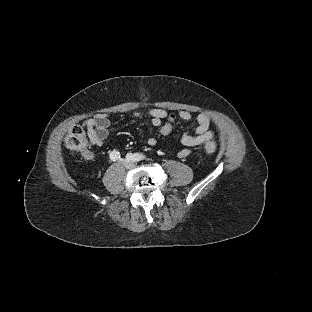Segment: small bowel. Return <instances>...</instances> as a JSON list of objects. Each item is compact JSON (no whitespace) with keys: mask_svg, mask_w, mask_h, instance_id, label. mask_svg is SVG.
I'll return each instance as SVG.
<instances>
[{"mask_svg":"<svg viewBox=\"0 0 312 312\" xmlns=\"http://www.w3.org/2000/svg\"><path fill=\"white\" fill-rule=\"evenodd\" d=\"M179 119L183 121H191L193 118L192 113L189 110H179L177 113ZM133 117L140 119L143 117L150 118V127L148 129L146 144L148 146H155L157 139L154 136V126L159 121H166L170 118V114L163 108H152L145 111H136L133 113ZM197 127L193 133L174 134L172 136L178 139L185 148L178 151V157H187L190 154V148L205 144L208 141H212L214 138L213 132L210 130L211 119L206 113H199L196 116ZM88 137L92 146H100L104 140L110 135V120L105 114H97L92 118L85 121ZM82 157L86 160L93 158V151L86 149L81 153Z\"/></svg>","mask_w":312,"mask_h":312,"instance_id":"1","label":"small bowel"}]
</instances>
